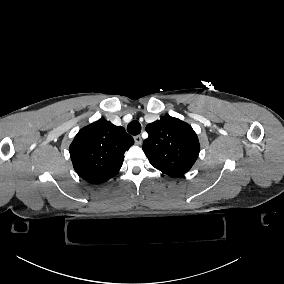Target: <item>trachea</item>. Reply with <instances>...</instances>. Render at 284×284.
<instances>
[{
	"mask_svg": "<svg viewBox=\"0 0 284 284\" xmlns=\"http://www.w3.org/2000/svg\"><path fill=\"white\" fill-rule=\"evenodd\" d=\"M127 131L131 134V135H138L141 132V124L139 123V121L137 120H133L132 122H130L127 126Z\"/></svg>",
	"mask_w": 284,
	"mask_h": 284,
	"instance_id": "3493384b",
	"label": "trachea"
}]
</instances>
